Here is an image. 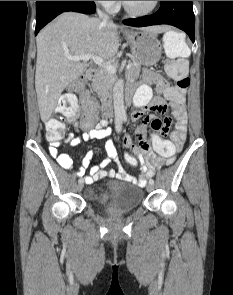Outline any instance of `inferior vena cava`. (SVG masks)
<instances>
[{"label": "inferior vena cava", "mask_w": 233, "mask_h": 295, "mask_svg": "<svg viewBox=\"0 0 233 295\" xmlns=\"http://www.w3.org/2000/svg\"><path fill=\"white\" fill-rule=\"evenodd\" d=\"M98 15H99V17L101 18V20H102L103 22L106 23V22L109 21V16H108L107 14L101 12L100 10H98Z\"/></svg>", "instance_id": "inferior-vena-cava-1"}]
</instances>
